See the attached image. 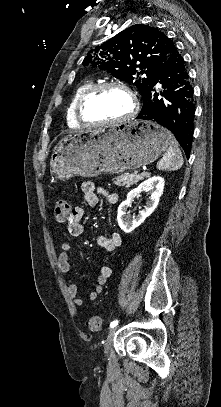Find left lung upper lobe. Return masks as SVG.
Masks as SVG:
<instances>
[{"label": "left lung upper lobe", "mask_w": 221, "mask_h": 407, "mask_svg": "<svg viewBox=\"0 0 221 407\" xmlns=\"http://www.w3.org/2000/svg\"><path fill=\"white\" fill-rule=\"evenodd\" d=\"M172 45L158 29L137 24L90 50L83 64H91L118 79L133 82L143 96L154 74L170 56ZM143 74L145 76L138 77Z\"/></svg>", "instance_id": "obj_1"}]
</instances>
